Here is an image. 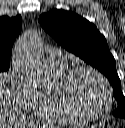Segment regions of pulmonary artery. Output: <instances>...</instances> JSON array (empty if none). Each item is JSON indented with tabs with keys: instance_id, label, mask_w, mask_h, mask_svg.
I'll return each instance as SVG.
<instances>
[{
	"instance_id": "obj_1",
	"label": "pulmonary artery",
	"mask_w": 125,
	"mask_h": 128,
	"mask_svg": "<svg viewBox=\"0 0 125 128\" xmlns=\"http://www.w3.org/2000/svg\"><path fill=\"white\" fill-rule=\"evenodd\" d=\"M46 63L50 66H59L66 63V55L59 49L46 51Z\"/></svg>"
}]
</instances>
